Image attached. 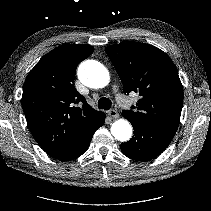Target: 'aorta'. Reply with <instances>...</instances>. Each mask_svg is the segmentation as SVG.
Masks as SVG:
<instances>
[{"mask_svg": "<svg viewBox=\"0 0 211 211\" xmlns=\"http://www.w3.org/2000/svg\"><path fill=\"white\" fill-rule=\"evenodd\" d=\"M78 78L86 86L91 88H103L110 80L107 68L98 61L87 60L78 68ZM111 133L115 139L125 142L132 135V127L125 119L116 120L111 126Z\"/></svg>", "mask_w": 211, "mask_h": 211, "instance_id": "1", "label": "aorta"}]
</instances>
